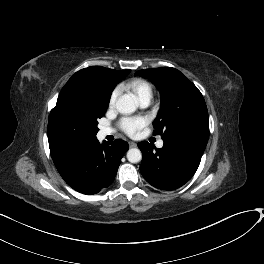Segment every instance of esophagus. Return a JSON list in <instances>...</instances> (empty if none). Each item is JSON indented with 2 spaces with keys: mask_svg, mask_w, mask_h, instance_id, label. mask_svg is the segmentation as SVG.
<instances>
[{
  "mask_svg": "<svg viewBox=\"0 0 264 264\" xmlns=\"http://www.w3.org/2000/svg\"><path fill=\"white\" fill-rule=\"evenodd\" d=\"M129 146H130V148H132V147H136L137 144L135 142H129Z\"/></svg>",
  "mask_w": 264,
  "mask_h": 264,
  "instance_id": "34e87169",
  "label": "esophagus"
}]
</instances>
